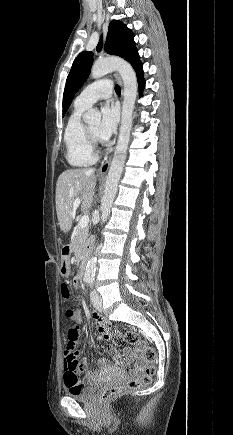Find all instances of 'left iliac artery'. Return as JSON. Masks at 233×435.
Here are the masks:
<instances>
[{"label": "left iliac artery", "instance_id": "left-iliac-artery-1", "mask_svg": "<svg viewBox=\"0 0 233 435\" xmlns=\"http://www.w3.org/2000/svg\"><path fill=\"white\" fill-rule=\"evenodd\" d=\"M88 283H89L90 285H92V283H93V279H90V280L88 281Z\"/></svg>", "mask_w": 233, "mask_h": 435}]
</instances>
